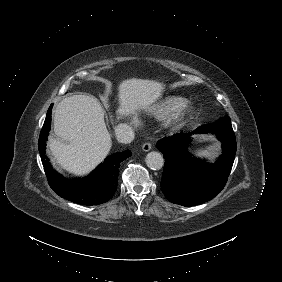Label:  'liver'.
I'll use <instances>...</instances> for the list:
<instances>
[{
    "label": "liver",
    "mask_w": 282,
    "mask_h": 282,
    "mask_svg": "<svg viewBox=\"0 0 282 282\" xmlns=\"http://www.w3.org/2000/svg\"><path fill=\"white\" fill-rule=\"evenodd\" d=\"M165 85L155 80L131 78L118 87V118L150 107L162 95ZM54 132L48 146L54 161L66 171L83 175L95 168L109 153L112 140L102 107L85 95L64 98L54 113Z\"/></svg>",
    "instance_id": "obj_1"
}]
</instances>
